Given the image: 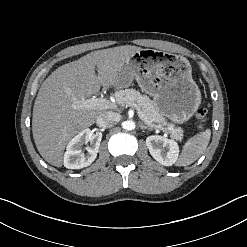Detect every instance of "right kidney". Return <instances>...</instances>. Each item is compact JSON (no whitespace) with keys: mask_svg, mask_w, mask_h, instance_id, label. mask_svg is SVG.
Here are the masks:
<instances>
[{"mask_svg":"<svg viewBox=\"0 0 247 247\" xmlns=\"http://www.w3.org/2000/svg\"><path fill=\"white\" fill-rule=\"evenodd\" d=\"M102 133H94L90 129H84L77 134L67 145L64 154V166L68 169H81L89 166L97 157ZM90 142L86 147L87 153L82 151L84 144Z\"/></svg>","mask_w":247,"mask_h":247,"instance_id":"1","label":"right kidney"}]
</instances>
